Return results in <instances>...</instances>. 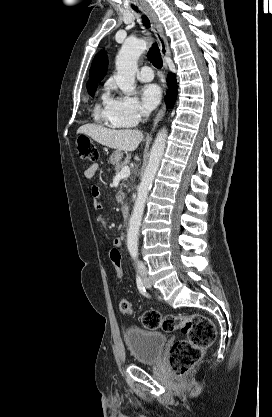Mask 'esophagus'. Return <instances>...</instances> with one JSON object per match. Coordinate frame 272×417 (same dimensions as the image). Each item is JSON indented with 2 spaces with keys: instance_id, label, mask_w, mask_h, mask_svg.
Instances as JSON below:
<instances>
[{
  "instance_id": "1",
  "label": "esophagus",
  "mask_w": 272,
  "mask_h": 417,
  "mask_svg": "<svg viewBox=\"0 0 272 417\" xmlns=\"http://www.w3.org/2000/svg\"><path fill=\"white\" fill-rule=\"evenodd\" d=\"M143 9L145 10L146 14L148 15L149 19L151 20L152 23V29L153 32L157 38V41L159 43V47H160V52H161V56L163 58V63H164V67L165 69L168 68L167 65V57L170 56V49H169V45H168V41L167 38L164 34L163 31V27L160 23V21L158 20L156 14L154 13V11L147 5V4H143ZM165 110H166V106L165 104H162V106L160 107L159 111L157 112L155 119L153 121V125H152V129H155V127L157 126V124L159 123V121L163 118L164 114H165Z\"/></svg>"
}]
</instances>
